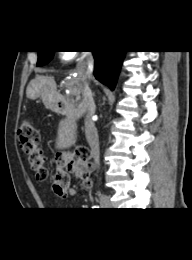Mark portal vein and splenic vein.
I'll return each mask as SVG.
<instances>
[{
    "instance_id": "18ae733b",
    "label": "portal vein and splenic vein",
    "mask_w": 192,
    "mask_h": 260,
    "mask_svg": "<svg viewBox=\"0 0 192 260\" xmlns=\"http://www.w3.org/2000/svg\"><path fill=\"white\" fill-rule=\"evenodd\" d=\"M71 94L76 95V91H71Z\"/></svg>"
}]
</instances>
